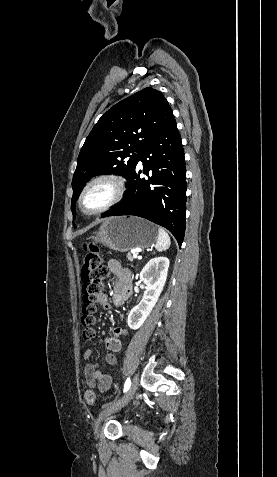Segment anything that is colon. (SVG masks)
<instances>
[{
	"label": "colon",
	"instance_id": "colon-1",
	"mask_svg": "<svg viewBox=\"0 0 277 477\" xmlns=\"http://www.w3.org/2000/svg\"><path fill=\"white\" fill-rule=\"evenodd\" d=\"M83 263L81 267L82 282V324L85 327L83 337L85 340H91L95 332L93 325L95 324V312L97 304L104 290V280L108 275V268L103 264L99 252V248L93 243H84L83 245ZM85 401L89 405H93L96 400V394L92 389L85 392Z\"/></svg>",
	"mask_w": 277,
	"mask_h": 477
}]
</instances>
